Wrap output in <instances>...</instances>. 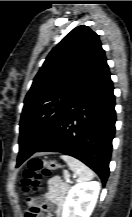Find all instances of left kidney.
<instances>
[{
    "label": "left kidney",
    "mask_w": 132,
    "mask_h": 217,
    "mask_svg": "<svg viewBox=\"0 0 132 217\" xmlns=\"http://www.w3.org/2000/svg\"><path fill=\"white\" fill-rule=\"evenodd\" d=\"M99 191L100 184L96 181L73 186L66 197L62 217H89L97 202Z\"/></svg>",
    "instance_id": "left-kidney-1"
}]
</instances>
